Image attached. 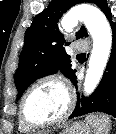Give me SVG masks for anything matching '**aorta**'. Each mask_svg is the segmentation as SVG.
<instances>
[{
	"mask_svg": "<svg viewBox=\"0 0 116 134\" xmlns=\"http://www.w3.org/2000/svg\"><path fill=\"white\" fill-rule=\"evenodd\" d=\"M83 21L93 38V49L84 80V92L91 94L99 84L112 46L110 25L105 15L97 8L82 4L71 9L62 19L64 29L73 28L78 21Z\"/></svg>",
	"mask_w": 116,
	"mask_h": 134,
	"instance_id": "aorta-1",
	"label": "aorta"
}]
</instances>
